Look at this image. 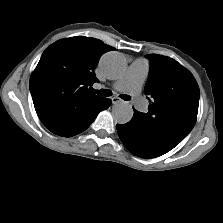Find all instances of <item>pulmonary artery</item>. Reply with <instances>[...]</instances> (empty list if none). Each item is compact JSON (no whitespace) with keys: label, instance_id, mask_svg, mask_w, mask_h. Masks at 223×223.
<instances>
[{"label":"pulmonary artery","instance_id":"1","mask_svg":"<svg viewBox=\"0 0 223 223\" xmlns=\"http://www.w3.org/2000/svg\"><path fill=\"white\" fill-rule=\"evenodd\" d=\"M146 74V63L138 59L113 84L116 90L127 92L132 98L133 105L139 110H143L146 107V102L141 97V88Z\"/></svg>","mask_w":223,"mask_h":223}]
</instances>
